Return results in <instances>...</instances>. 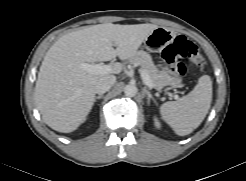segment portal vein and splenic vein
<instances>
[{"mask_svg":"<svg viewBox=\"0 0 246 181\" xmlns=\"http://www.w3.org/2000/svg\"><path fill=\"white\" fill-rule=\"evenodd\" d=\"M79 67L85 71H87L90 74H108L111 72V66L110 65H103V64H89V63H80ZM141 77L143 79V82L150 88L153 87L149 76L143 72L140 71ZM175 99H178V95H174Z\"/></svg>","mask_w":246,"mask_h":181,"instance_id":"obj_1","label":"portal vein and splenic vein"}]
</instances>
